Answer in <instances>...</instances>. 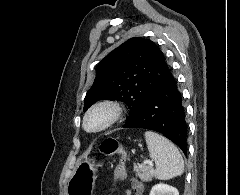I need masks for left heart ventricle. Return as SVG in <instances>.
Returning a JSON list of instances; mask_svg holds the SVG:
<instances>
[{"instance_id":"1","label":"left heart ventricle","mask_w":240,"mask_h":195,"mask_svg":"<svg viewBox=\"0 0 240 195\" xmlns=\"http://www.w3.org/2000/svg\"><path fill=\"white\" fill-rule=\"evenodd\" d=\"M98 123V118H92L91 120H90V125H96Z\"/></svg>"}]
</instances>
